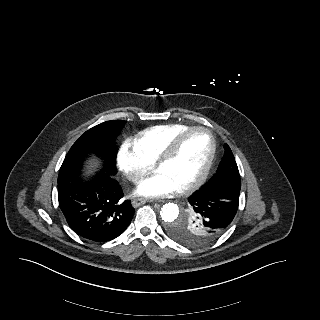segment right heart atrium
Returning a JSON list of instances; mask_svg holds the SVG:
<instances>
[{
	"mask_svg": "<svg viewBox=\"0 0 320 320\" xmlns=\"http://www.w3.org/2000/svg\"><path fill=\"white\" fill-rule=\"evenodd\" d=\"M118 166L124 176L131 182H138L152 167L139 150L136 143L126 140L118 152Z\"/></svg>",
	"mask_w": 320,
	"mask_h": 320,
	"instance_id": "right-heart-atrium-1",
	"label": "right heart atrium"
}]
</instances>
